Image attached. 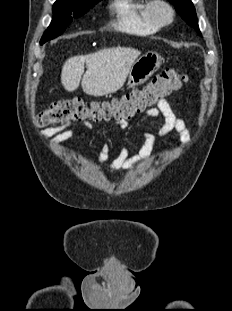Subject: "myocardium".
Listing matches in <instances>:
<instances>
[{
  "instance_id": "f54148a6",
  "label": "myocardium",
  "mask_w": 232,
  "mask_h": 311,
  "mask_svg": "<svg viewBox=\"0 0 232 311\" xmlns=\"http://www.w3.org/2000/svg\"><path fill=\"white\" fill-rule=\"evenodd\" d=\"M159 8H164L168 12V18L162 20L157 16V10ZM147 15L150 21L158 27H165L170 25L174 21L175 10L173 6L166 0H150L147 9Z\"/></svg>"
}]
</instances>
